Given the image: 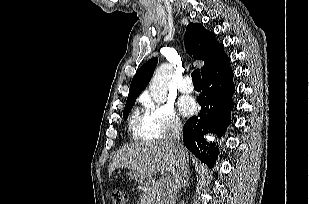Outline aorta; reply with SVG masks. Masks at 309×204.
Listing matches in <instances>:
<instances>
[{"label":"aorta","instance_id":"aorta-1","mask_svg":"<svg viewBox=\"0 0 309 204\" xmlns=\"http://www.w3.org/2000/svg\"><path fill=\"white\" fill-rule=\"evenodd\" d=\"M172 74L173 67L168 63L161 64L156 69L149 85L150 96L156 103L165 102Z\"/></svg>","mask_w":309,"mask_h":204}]
</instances>
